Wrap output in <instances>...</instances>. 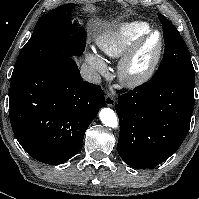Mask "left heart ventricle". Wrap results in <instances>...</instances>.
Masks as SVG:
<instances>
[{
	"label": "left heart ventricle",
	"mask_w": 199,
	"mask_h": 199,
	"mask_svg": "<svg viewBox=\"0 0 199 199\" xmlns=\"http://www.w3.org/2000/svg\"><path fill=\"white\" fill-rule=\"evenodd\" d=\"M159 43L158 34H153L148 40L142 45L140 51L136 57L134 62V68L137 70H141L145 68L152 57L154 56Z\"/></svg>",
	"instance_id": "obj_1"
}]
</instances>
